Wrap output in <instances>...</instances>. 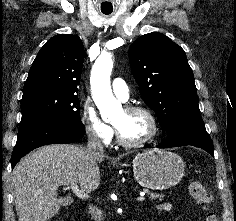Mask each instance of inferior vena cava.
Returning a JSON list of instances; mask_svg holds the SVG:
<instances>
[{"instance_id":"1","label":"inferior vena cava","mask_w":236,"mask_h":221,"mask_svg":"<svg viewBox=\"0 0 236 221\" xmlns=\"http://www.w3.org/2000/svg\"><path fill=\"white\" fill-rule=\"evenodd\" d=\"M87 151L92 156L103 155V145L95 132H91L88 135ZM89 213L91 214L92 220L103 221L102 212L97 207L89 205Z\"/></svg>"}]
</instances>
